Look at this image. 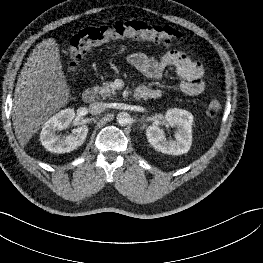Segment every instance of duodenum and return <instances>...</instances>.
<instances>
[{"label": "duodenum", "mask_w": 263, "mask_h": 263, "mask_svg": "<svg viewBox=\"0 0 263 263\" xmlns=\"http://www.w3.org/2000/svg\"><path fill=\"white\" fill-rule=\"evenodd\" d=\"M96 96V90L95 88H87L82 93V99L86 103H90L95 99ZM150 96V93L147 90L138 88L134 93V98L136 100H143L147 99Z\"/></svg>", "instance_id": "duodenum-1"}]
</instances>
